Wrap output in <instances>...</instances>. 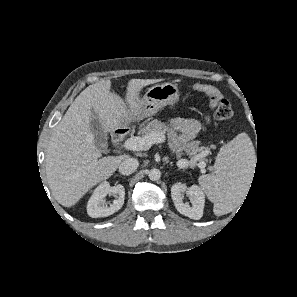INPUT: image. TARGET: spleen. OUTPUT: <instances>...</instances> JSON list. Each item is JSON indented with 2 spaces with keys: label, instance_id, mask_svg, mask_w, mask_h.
<instances>
[{
  "label": "spleen",
  "instance_id": "spleen-1",
  "mask_svg": "<svg viewBox=\"0 0 297 297\" xmlns=\"http://www.w3.org/2000/svg\"><path fill=\"white\" fill-rule=\"evenodd\" d=\"M255 160L252 142L243 133L220 149L214 171L199 178L201 187L214 203L215 215L230 212L234 204L243 198L253 175Z\"/></svg>",
  "mask_w": 297,
  "mask_h": 297
}]
</instances>
